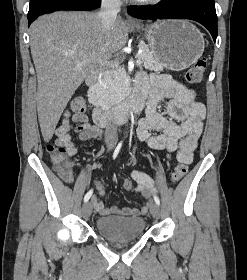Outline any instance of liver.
Returning a JSON list of instances; mask_svg holds the SVG:
<instances>
[{"instance_id": "obj_1", "label": "liver", "mask_w": 247, "mask_h": 280, "mask_svg": "<svg viewBox=\"0 0 247 280\" xmlns=\"http://www.w3.org/2000/svg\"><path fill=\"white\" fill-rule=\"evenodd\" d=\"M127 40L128 28L121 18H116L111 30L104 31L98 13L55 12L31 24L38 119L46 142L53 137L77 88L96 71L100 62L124 47Z\"/></svg>"}]
</instances>
